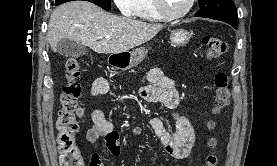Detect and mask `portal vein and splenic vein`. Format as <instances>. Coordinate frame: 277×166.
<instances>
[{
  "label": "portal vein and splenic vein",
  "instance_id": "obj_1",
  "mask_svg": "<svg viewBox=\"0 0 277 166\" xmlns=\"http://www.w3.org/2000/svg\"><path fill=\"white\" fill-rule=\"evenodd\" d=\"M100 38H102V37H100ZM105 38H106V39H110V36H105Z\"/></svg>",
  "mask_w": 277,
  "mask_h": 166
}]
</instances>
